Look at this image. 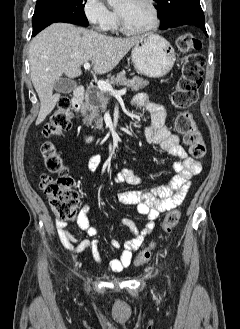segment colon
Listing matches in <instances>:
<instances>
[{
	"label": "colon",
	"mask_w": 240,
	"mask_h": 329,
	"mask_svg": "<svg viewBox=\"0 0 240 329\" xmlns=\"http://www.w3.org/2000/svg\"><path fill=\"white\" fill-rule=\"evenodd\" d=\"M178 49L185 54L181 61V76L170 96L171 105L180 110L189 108L197 102L198 92L203 81L204 56L197 51L200 41L191 33H184L178 38ZM72 114L70 101L67 96H61L53 109L46 127L48 135L60 136L71 125ZM176 129L183 136L190 154L198 160L206 156V145L193 115L188 111L181 112L175 122ZM46 169L56 177L42 175L40 186L44 191L50 208L57 219L62 222L73 221L80 203V194L73 186L72 178L66 175V168L61 157L51 143L41 146ZM181 213L173 209L163 220V229L166 233L178 224ZM153 247L144 248L135 260L136 266L147 263L152 257Z\"/></svg>",
	"instance_id": "5ec220e1"
}]
</instances>
